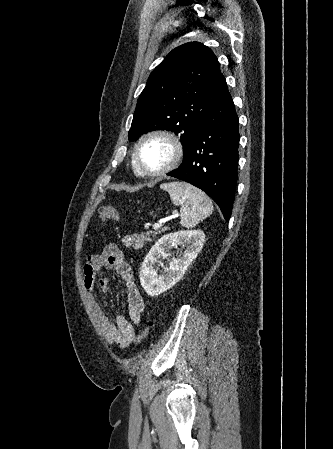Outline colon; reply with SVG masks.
Returning <instances> with one entry per match:
<instances>
[{
    "mask_svg": "<svg viewBox=\"0 0 333 449\" xmlns=\"http://www.w3.org/2000/svg\"><path fill=\"white\" fill-rule=\"evenodd\" d=\"M99 217H100V219L105 220V221H107V220L118 221L119 220L118 212L111 206L101 207L99 209ZM154 324H155L154 319H152V318L148 319L145 327L140 332V334L137 336L136 342L138 344H141L146 340V338H147L150 330L153 328Z\"/></svg>",
    "mask_w": 333,
    "mask_h": 449,
    "instance_id": "colon-1",
    "label": "colon"
}]
</instances>
